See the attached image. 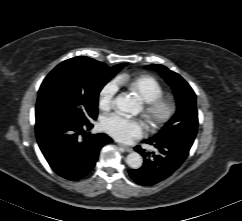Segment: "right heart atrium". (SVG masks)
Returning <instances> with one entry per match:
<instances>
[{
    "instance_id": "d8ad5b80",
    "label": "right heart atrium",
    "mask_w": 242,
    "mask_h": 221,
    "mask_svg": "<svg viewBox=\"0 0 242 221\" xmlns=\"http://www.w3.org/2000/svg\"><path fill=\"white\" fill-rule=\"evenodd\" d=\"M119 87L116 81H108L99 91L98 102L101 108L107 109L114 103Z\"/></svg>"
}]
</instances>
